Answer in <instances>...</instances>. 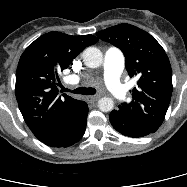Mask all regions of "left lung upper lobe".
I'll list each match as a JSON object with an SVG mask.
<instances>
[{"label": "left lung upper lobe", "instance_id": "1", "mask_svg": "<svg viewBox=\"0 0 187 187\" xmlns=\"http://www.w3.org/2000/svg\"><path fill=\"white\" fill-rule=\"evenodd\" d=\"M96 34L121 49L129 76L139 79L132 90V102L122 103L117 110L155 132L165 118L173 89L171 65L164 49L148 32L131 24Z\"/></svg>", "mask_w": 187, "mask_h": 187}]
</instances>
